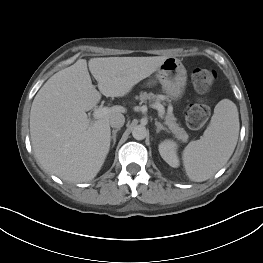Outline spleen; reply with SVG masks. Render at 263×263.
Returning <instances> with one entry per match:
<instances>
[{"label":"spleen","instance_id":"spleen-1","mask_svg":"<svg viewBox=\"0 0 263 263\" xmlns=\"http://www.w3.org/2000/svg\"><path fill=\"white\" fill-rule=\"evenodd\" d=\"M239 116L236 105L221 100L200 140L183 151V164L190 180L202 182L213 176L230 158L238 140Z\"/></svg>","mask_w":263,"mask_h":263}]
</instances>
